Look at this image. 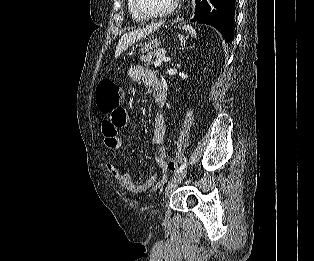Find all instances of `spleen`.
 <instances>
[{
    "label": "spleen",
    "mask_w": 314,
    "mask_h": 261,
    "mask_svg": "<svg viewBox=\"0 0 314 261\" xmlns=\"http://www.w3.org/2000/svg\"><path fill=\"white\" fill-rule=\"evenodd\" d=\"M185 29L189 32V34H190L192 37L196 38L197 33H196V31H195L191 26H185Z\"/></svg>",
    "instance_id": "spleen-1"
}]
</instances>
